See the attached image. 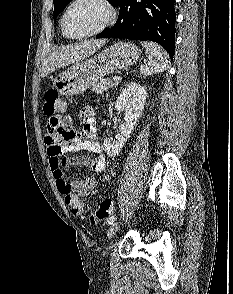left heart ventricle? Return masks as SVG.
I'll return each instance as SVG.
<instances>
[{
	"label": "left heart ventricle",
	"mask_w": 233,
	"mask_h": 294,
	"mask_svg": "<svg viewBox=\"0 0 233 294\" xmlns=\"http://www.w3.org/2000/svg\"><path fill=\"white\" fill-rule=\"evenodd\" d=\"M106 18V10L93 0H84L69 11L66 28L73 35H82L99 27Z\"/></svg>",
	"instance_id": "b2bd125f"
}]
</instances>
